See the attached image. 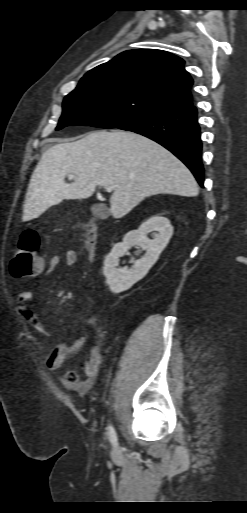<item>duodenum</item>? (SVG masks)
I'll use <instances>...</instances> for the list:
<instances>
[{
  "instance_id": "1",
  "label": "duodenum",
  "mask_w": 247,
  "mask_h": 513,
  "mask_svg": "<svg viewBox=\"0 0 247 513\" xmlns=\"http://www.w3.org/2000/svg\"><path fill=\"white\" fill-rule=\"evenodd\" d=\"M85 230L88 235V254L90 257L94 258L96 255V248H97V236H98V227L96 223L92 220H90L85 227Z\"/></svg>"
}]
</instances>
